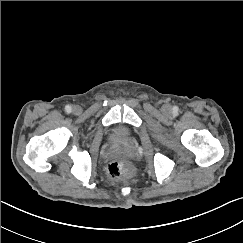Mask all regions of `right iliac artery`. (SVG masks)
Listing matches in <instances>:
<instances>
[{"label":"right iliac artery","mask_w":243,"mask_h":243,"mask_svg":"<svg viewBox=\"0 0 243 243\" xmlns=\"http://www.w3.org/2000/svg\"><path fill=\"white\" fill-rule=\"evenodd\" d=\"M65 111H66L67 114L71 113V111H72L71 106H70V105H67V106L65 107Z\"/></svg>","instance_id":"1"}]
</instances>
